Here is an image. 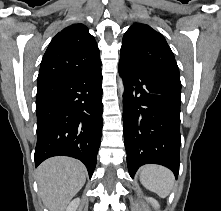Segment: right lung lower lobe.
<instances>
[{"label": "right lung lower lobe", "instance_id": "98d812e1", "mask_svg": "<svg viewBox=\"0 0 221 211\" xmlns=\"http://www.w3.org/2000/svg\"><path fill=\"white\" fill-rule=\"evenodd\" d=\"M101 81L100 66L38 87L36 166L52 156H70L92 176L102 134Z\"/></svg>", "mask_w": 221, "mask_h": 211}]
</instances>
